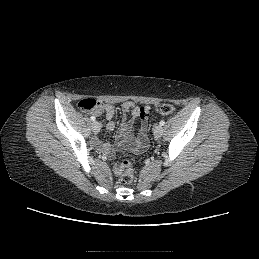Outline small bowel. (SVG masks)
<instances>
[{"label":"small bowel","instance_id":"1","mask_svg":"<svg viewBox=\"0 0 259 259\" xmlns=\"http://www.w3.org/2000/svg\"><path fill=\"white\" fill-rule=\"evenodd\" d=\"M140 108L136 106L131 101H126L122 105V109L125 114V119L120 125L118 134L116 136V143L117 145L125 150L131 151V152H140L144 150L148 145V137H147V131H148V117L142 118L140 115ZM150 110V108L148 107ZM101 113H105L106 116V128L108 130H113L115 128V120H114V114H115V108L112 104H104L102 107L96 109L94 111L95 115H100ZM130 115L132 119L140 118L141 123L138 131V135L136 137L133 136L132 130H133V121L132 119H127L126 116ZM94 145L101 150L102 152L112 155L113 149L111 148L109 143H102L98 139L94 140Z\"/></svg>","mask_w":259,"mask_h":259}]
</instances>
